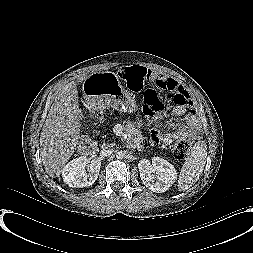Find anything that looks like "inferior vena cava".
<instances>
[{"instance_id": "inferior-vena-cava-1", "label": "inferior vena cava", "mask_w": 253, "mask_h": 253, "mask_svg": "<svg viewBox=\"0 0 253 253\" xmlns=\"http://www.w3.org/2000/svg\"><path fill=\"white\" fill-rule=\"evenodd\" d=\"M112 153H113V150L112 149H110V150H104L103 151V156H105V157H110V156H112Z\"/></svg>"}]
</instances>
